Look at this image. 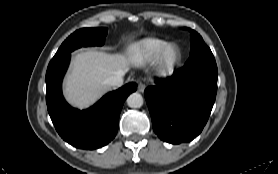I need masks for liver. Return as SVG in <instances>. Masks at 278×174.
<instances>
[{"instance_id":"6515ba94","label":"liver","mask_w":278,"mask_h":174,"mask_svg":"<svg viewBox=\"0 0 278 174\" xmlns=\"http://www.w3.org/2000/svg\"><path fill=\"white\" fill-rule=\"evenodd\" d=\"M132 62V57L97 50L76 54L64 80L66 100L80 109L91 106L111 89L106 80L128 71Z\"/></svg>"}]
</instances>
